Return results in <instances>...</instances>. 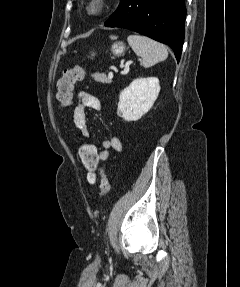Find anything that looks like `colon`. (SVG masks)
I'll return each mask as SVG.
<instances>
[{
    "mask_svg": "<svg viewBox=\"0 0 240 287\" xmlns=\"http://www.w3.org/2000/svg\"><path fill=\"white\" fill-rule=\"evenodd\" d=\"M86 78V71L80 66H76L64 71L62 77L57 82V99L64 107L72 103L74 85ZM81 162L87 170V177L90 183L98 184L99 196L104 198L110 191V182L106 169L99 165L97 148L89 143H82L79 148Z\"/></svg>",
    "mask_w": 240,
    "mask_h": 287,
    "instance_id": "colon-1",
    "label": "colon"
}]
</instances>
